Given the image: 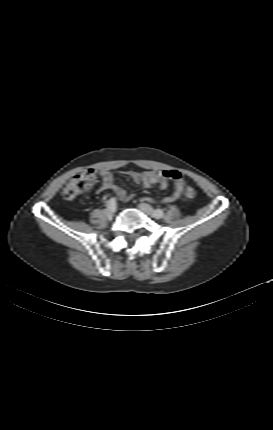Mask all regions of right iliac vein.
I'll return each mask as SVG.
<instances>
[{"mask_svg":"<svg viewBox=\"0 0 273 430\" xmlns=\"http://www.w3.org/2000/svg\"><path fill=\"white\" fill-rule=\"evenodd\" d=\"M106 212H107V214H108V215H111V216H112V215H114L115 210H113V209H107V211H106Z\"/></svg>","mask_w":273,"mask_h":430,"instance_id":"63e3f726","label":"right iliac vein"}]
</instances>
